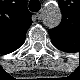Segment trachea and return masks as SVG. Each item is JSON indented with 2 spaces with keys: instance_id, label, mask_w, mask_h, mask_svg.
I'll list each match as a JSON object with an SVG mask.
<instances>
[{
  "instance_id": "1",
  "label": "trachea",
  "mask_w": 80,
  "mask_h": 80,
  "mask_svg": "<svg viewBox=\"0 0 80 80\" xmlns=\"http://www.w3.org/2000/svg\"><path fill=\"white\" fill-rule=\"evenodd\" d=\"M29 9L32 12H38L41 9V3L38 0H31L29 2Z\"/></svg>"
}]
</instances>
